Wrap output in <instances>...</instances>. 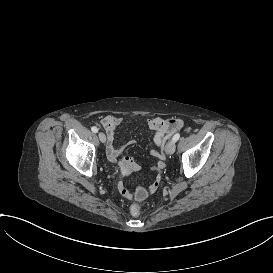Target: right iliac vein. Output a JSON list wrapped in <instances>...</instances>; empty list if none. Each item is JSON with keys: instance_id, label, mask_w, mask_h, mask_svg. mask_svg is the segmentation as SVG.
I'll use <instances>...</instances> for the list:
<instances>
[{"instance_id": "63e3f726", "label": "right iliac vein", "mask_w": 273, "mask_h": 273, "mask_svg": "<svg viewBox=\"0 0 273 273\" xmlns=\"http://www.w3.org/2000/svg\"><path fill=\"white\" fill-rule=\"evenodd\" d=\"M98 136H99V139H100V141H101L102 143H105V142H106V136H105V134H104L103 132H100V133L98 134Z\"/></svg>"}]
</instances>
